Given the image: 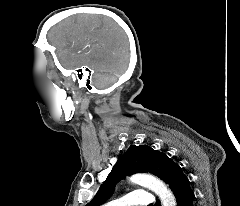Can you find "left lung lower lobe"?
Listing matches in <instances>:
<instances>
[{
	"label": "left lung lower lobe",
	"instance_id": "obj_1",
	"mask_svg": "<svg viewBox=\"0 0 240 206\" xmlns=\"http://www.w3.org/2000/svg\"><path fill=\"white\" fill-rule=\"evenodd\" d=\"M165 182L173 191L177 206H194L195 196L190 182L178 164L174 163L171 165ZM155 206H160L159 202H156Z\"/></svg>",
	"mask_w": 240,
	"mask_h": 206
}]
</instances>
